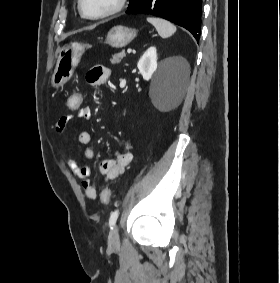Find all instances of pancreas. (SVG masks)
Listing matches in <instances>:
<instances>
[{
	"label": "pancreas",
	"mask_w": 280,
	"mask_h": 283,
	"mask_svg": "<svg viewBox=\"0 0 280 283\" xmlns=\"http://www.w3.org/2000/svg\"><path fill=\"white\" fill-rule=\"evenodd\" d=\"M126 57L125 51H121L120 53H116L112 55V58L110 59L112 64H118L121 62V60Z\"/></svg>",
	"instance_id": "obj_1"
}]
</instances>
